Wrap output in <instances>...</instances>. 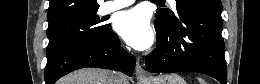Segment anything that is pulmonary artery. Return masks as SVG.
Returning <instances> with one entry per match:
<instances>
[{
  "label": "pulmonary artery",
  "mask_w": 260,
  "mask_h": 84,
  "mask_svg": "<svg viewBox=\"0 0 260 84\" xmlns=\"http://www.w3.org/2000/svg\"><path fill=\"white\" fill-rule=\"evenodd\" d=\"M170 4L175 6L176 5V1L175 0H169ZM134 1L132 0H115V1H107L105 3H103L100 8H99V12L101 14H108V13H112L115 12L117 10H120L122 8H125L131 4H133Z\"/></svg>",
  "instance_id": "e3ab8cb5"
}]
</instances>
